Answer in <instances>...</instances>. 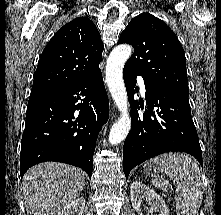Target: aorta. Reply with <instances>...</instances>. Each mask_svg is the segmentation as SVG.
I'll return each mask as SVG.
<instances>
[{"label":"aorta","mask_w":221,"mask_h":215,"mask_svg":"<svg viewBox=\"0 0 221 215\" xmlns=\"http://www.w3.org/2000/svg\"><path fill=\"white\" fill-rule=\"evenodd\" d=\"M132 47L127 44L116 46L110 53L106 64V82L121 117L114 123L109 133V143H121L131 128V118L128 111V98L123 81V67L132 54Z\"/></svg>","instance_id":"762f6f07"}]
</instances>
